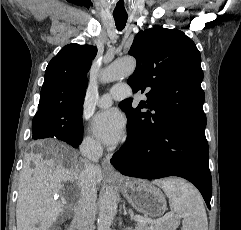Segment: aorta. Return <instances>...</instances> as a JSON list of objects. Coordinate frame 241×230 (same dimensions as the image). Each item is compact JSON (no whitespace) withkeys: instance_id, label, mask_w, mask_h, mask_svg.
I'll return each mask as SVG.
<instances>
[{"instance_id":"762f6f07","label":"aorta","mask_w":241,"mask_h":230,"mask_svg":"<svg viewBox=\"0 0 241 230\" xmlns=\"http://www.w3.org/2000/svg\"><path fill=\"white\" fill-rule=\"evenodd\" d=\"M136 68V60L126 57L112 62L101 74L102 82L118 81L129 77ZM117 193L110 187L106 188L100 201L97 229L111 230V224L117 213Z\"/></svg>"}]
</instances>
